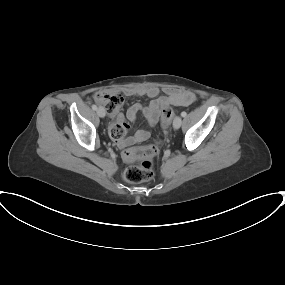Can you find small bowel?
<instances>
[{
  "label": "small bowel",
  "mask_w": 285,
  "mask_h": 285,
  "mask_svg": "<svg viewBox=\"0 0 285 285\" xmlns=\"http://www.w3.org/2000/svg\"><path fill=\"white\" fill-rule=\"evenodd\" d=\"M121 96H146L151 99L147 106H142L139 103L131 105L126 112V118L134 122L138 113H142L147 122L154 126L159 121L160 114L163 110L170 106H187L195 102L196 96L189 91H181L177 89H167L165 95H160L159 88L155 86H147L138 89L127 88L122 91ZM111 118L115 121L111 123L110 130L115 127H124L127 124L124 117L120 113L111 114ZM150 137V132L147 130H137L131 137L119 141L122 147L130 146L137 142L146 141Z\"/></svg>",
  "instance_id": "1"
}]
</instances>
